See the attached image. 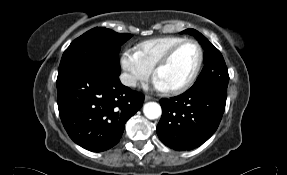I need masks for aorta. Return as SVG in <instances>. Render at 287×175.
Segmentation results:
<instances>
[{
	"instance_id": "obj_1",
	"label": "aorta",
	"mask_w": 287,
	"mask_h": 175,
	"mask_svg": "<svg viewBox=\"0 0 287 175\" xmlns=\"http://www.w3.org/2000/svg\"><path fill=\"white\" fill-rule=\"evenodd\" d=\"M143 113L148 119H157L162 113L161 106L156 102H148L143 106Z\"/></svg>"
}]
</instances>
